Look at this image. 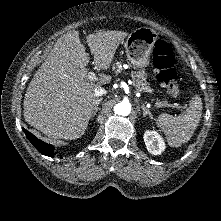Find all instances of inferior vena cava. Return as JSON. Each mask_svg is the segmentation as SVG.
<instances>
[{"label": "inferior vena cava", "instance_id": "1", "mask_svg": "<svg viewBox=\"0 0 221 221\" xmlns=\"http://www.w3.org/2000/svg\"><path fill=\"white\" fill-rule=\"evenodd\" d=\"M94 94H95V96L99 97V96L106 94V90L104 88L98 86L95 88Z\"/></svg>", "mask_w": 221, "mask_h": 221}]
</instances>
